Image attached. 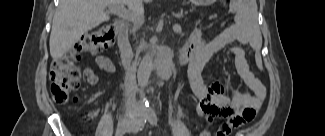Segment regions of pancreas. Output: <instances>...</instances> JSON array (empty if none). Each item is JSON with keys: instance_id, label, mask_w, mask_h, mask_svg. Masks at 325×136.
<instances>
[{"instance_id": "obj_1", "label": "pancreas", "mask_w": 325, "mask_h": 136, "mask_svg": "<svg viewBox=\"0 0 325 136\" xmlns=\"http://www.w3.org/2000/svg\"><path fill=\"white\" fill-rule=\"evenodd\" d=\"M176 16H185L180 19V22L182 24H189L190 19H196L197 13L193 12L192 9H190L189 5H180L179 9L175 10Z\"/></svg>"}]
</instances>
